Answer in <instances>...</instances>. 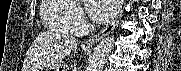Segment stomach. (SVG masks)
<instances>
[{
	"instance_id": "obj_1",
	"label": "stomach",
	"mask_w": 181,
	"mask_h": 71,
	"mask_svg": "<svg viewBox=\"0 0 181 71\" xmlns=\"http://www.w3.org/2000/svg\"><path fill=\"white\" fill-rule=\"evenodd\" d=\"M45 71H65V68L61 64H55L47 67Z\"/></svg>"
}]
</instances>
